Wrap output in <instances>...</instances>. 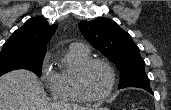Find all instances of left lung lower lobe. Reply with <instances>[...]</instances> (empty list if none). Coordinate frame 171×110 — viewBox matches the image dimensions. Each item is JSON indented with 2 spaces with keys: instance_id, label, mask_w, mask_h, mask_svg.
<instances>
[{
  "instance_id": "left-lung-lower-lobe-1",
  "label": "left lung lower lobe",
  "mask_w": 171,
  "mask_h": 110,
  "mask_svg": "<svg viewBox=\"0 0 171 110\" xmlns=\"http://www.w3.org/2000/svg\"><path fill=\"white\" fill-rule=\"evenodd\" d=\"M148 92H150L151 94H153L152 90L151 89H147Z\"/></svg>"
}]
</instances>
